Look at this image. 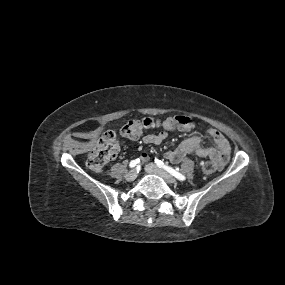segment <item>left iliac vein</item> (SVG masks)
Segmentation results:
<instances>
[{
  "mask_svg": "<svg viewBox=\"0 0 285 285\" xmlns=\"http://www.w3.org/2000/svg\"><path fill=\"white\" fill-rule=\"evenodd\" d=\"M145 170L148 173L156 174L160 177H162L166 182L171 184H177V180L173 178L171 175H169L167 172L159 169L156 165L149 163L145 166Z\"/></svg>",
  "mask_w": 285,
  "mask_h": 285,
  "instance_id": "1",
  "label": "left iliac vein"
}]
</instances>
